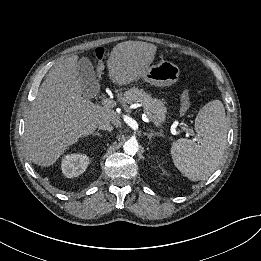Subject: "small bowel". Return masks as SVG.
Instances as JSON below:
<instances>
[{
  "label": "small bowel",
  "instance_id": "obj_1",
  "mask_svg": "<svg viewBox=\"0 0 261 261\" xmlns=\"http://www.w3.org/2000/svg\"><path fill=\"white\" fill-rule=\"evenodd\" d=\"M180 106L183 109V111L181 112L182 114H184L189 109L190 98H189V95H188L187 91H183V93L181 94Z\"/></svg>",
  "mask_w": 261,
  "mask_h": 261
}]
</instances>
